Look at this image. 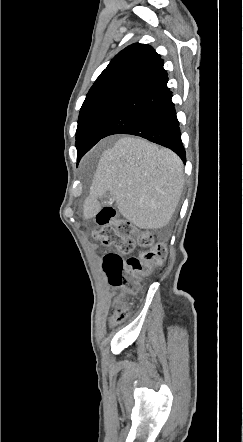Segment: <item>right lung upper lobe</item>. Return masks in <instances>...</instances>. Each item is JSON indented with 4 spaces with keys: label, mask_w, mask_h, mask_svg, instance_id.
I'll return each mask as SVG.
<instances>
[{
    "label": "right lung upper lobe",
    "mask_w": 243,
    "mask_h": 442,
    "mask_svg": "<svg viewBox=\"0 0 243 442\" xmlns=\"http://www.w3.org/2000/svg\"><path fill=\"white\" fill-rule=\"evenodd\" d=\"M163 60L147 44H132L119 52L90 88L86 99L106 94H128L164 74Z\"/></svg>",
    "instance_id": "right-lung-upper-lobe-1"
}]
</instances>
